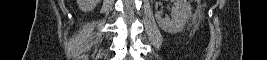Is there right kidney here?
Returning a JSON list of instances; mask_svg holds the SVG:
<instances>
[{
	"mask_svg": "<svg viewBox=\"0 0 267 60\" xmlns=\"http://www.w3.org/2000/svg\"><path fill=\"white\" fill-rule=\"evenodd\" d=\"M79 9L83 12H89L93 10L100 0H76Z\"/></svg>",
	"mask_w": 267,
	"mask_h": 60,
	"instance_id": "1",
	"label": "right kidney"
}]
</instances>
